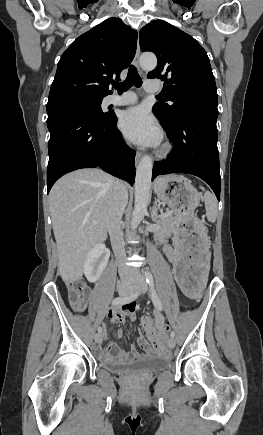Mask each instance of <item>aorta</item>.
I'll list each match as a JSON object with an SVG mask.
<instances>
[{"label": "aorta", "mask_w": 263, "mask_h": 435, "mask_svg": "<svg viewBox=\"0 0 263 435\" xmlns=\"http://www.w3.org/2000/svg\"><path fill=\"white\" fill-rule=\"evenodd\" d=\"M140 65L144 70H152L157 65V58L153 54H143L140 57ZM153 162L150 156H144L136 171L135 178V203L131 220L132 231L136 230L143 220L150 201V188Z\"/></svg>", "instance_id": "1"}]
</instances>
